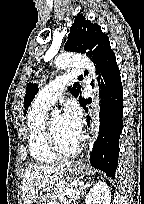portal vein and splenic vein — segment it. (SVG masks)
<instances>
[{
	"instance_id": "1",
	"label": "portal vein and splenic vein",
	"mask_w": 144,
	"mask_h": 204,
	"mask_svg": "<svg viewBox=\"0 0 144 204\" xmlns=\"http://www.w3.org/2000/svg\"><path fill=\"white\" fill-rule=\"evenodd\" d=\"M77 192L74 189H65L63 194L64 195H71V196H75Z\"/></svg>"
}]
</instances>
